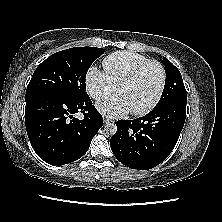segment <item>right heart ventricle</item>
<instances>
[{
	"label": "right heart ventricle",
	"mask_w": 222,
	"mask_h": 222,
	"mask_svg": "<svg viewBox=\"0 0 222 222\" xmlns=\"http://www.w3.org/2000/svg\"><path fill=\"white\" fill-rule=\"evenodd\" d=\"M147 60L146 56L138 53L118 51L104 58L103 67L117 87L133 69Z\"/></svg>",
	"instance_id": "right-heart-ventricle-1"
}]
</instances>
